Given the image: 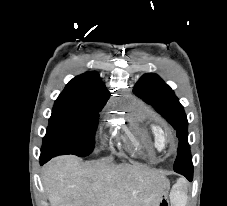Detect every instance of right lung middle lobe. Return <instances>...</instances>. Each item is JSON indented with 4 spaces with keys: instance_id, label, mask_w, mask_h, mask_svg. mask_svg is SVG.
Returning a JSON list of instances; mask_svg holds the SVG:
<instances>
[{
    "instance_id": "right-lung-middle-lobe-1",
    "label": "right lung middle lobe",
    "mask_w": 227,
    "mask_h": 206,
    "mask_svg": "<svg viewBox=\"0 0 227 206\" xmlns=\"http://www.w3.org/2000/svg\"><path fill=\"white\" fill-rule=\"evenodd\" d=\"M107 99L59 96L43 138L41 155L90 154L95 143L98 112Z\"/></svg>"
}]
</instances>
